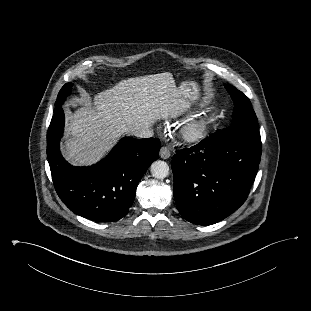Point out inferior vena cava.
I'll use <instances>...</instances> for the list:
<instances>
[{"instance_id":"1","label":"inferior vena cava","mask_w":311,"mask_h":311,"mask_svg":"<svg viewBox=\"0 0 311 311\" xmlns=\"http://www.w3.org/2000/svg\"><path fill=\"white\" fill-rule=\"evenodd\" d=\"M133 134L139 138H150L153 136V131L150 128H142L135 131Z\"/></svg>"}]
</instances>
